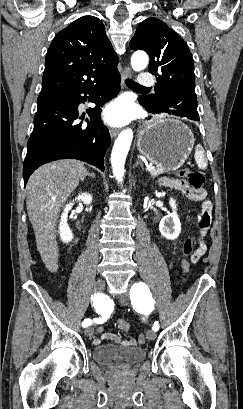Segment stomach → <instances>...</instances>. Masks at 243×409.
<instances>
[{
	"mask_svg": "<svg viewBox=\"0 0 243 409\" xmlns=\"http://www.w3.org/2000/svg\"><path fill=\"white\" fill-rule=\"evenodd\" d=\"M192 131L183 122L159 116L144 124L137 148L149 161L166 171L179 169L194 146Z\"/></svg>",
	"mask_w": 243,
	"mask_h": 409,
	"instance_id": "obj_1",
	"label": "stomach"
}]
</instances>
